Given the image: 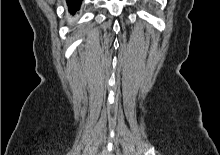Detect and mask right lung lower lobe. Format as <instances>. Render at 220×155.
Returning a JSON list of instances; mask_svg holds the SVG:
<instances>
[{
    "mask_svg": "<svg viewBox=\"0 0 220 155\" xmlns=\"http://www.w3.org/2000/svg\"><path fill=\"white\" fill-rule=\"evenodd\" d=\"M68 8L70 13L74 14L80 7L81 1L80 0H67Z\"/></svg>",
    "mask_w": 220,
    "mask_h": 155,
    "instance_id": "1",
    "label": "right lung lower lobe"
}]
</instances>
